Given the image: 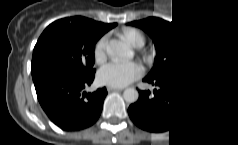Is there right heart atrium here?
<instances>
[{"label":"right heart atrium","mask_w":238,"mask_h":145,"mask_svg":"<svg viewBox=\"0 0 238 145\" xmlns=\"http://www.w3.org/2000/svg\"><path fill=\"white\" fill-rule=\"evenodd\" d=\"M107 39L106 37H101L95 44L93 48V56L96 62H102L107 56Z\"/></svg>","instance_id":"1"}]
</instances>
